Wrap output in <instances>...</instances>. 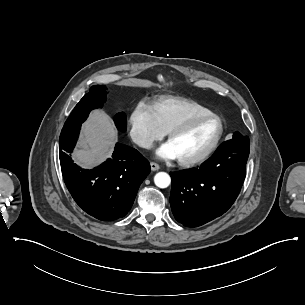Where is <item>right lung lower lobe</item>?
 <instances>
[{
    "label": "right lung lower lobe",
    "instance_id": "obj_1",
    "mask_svg": "<svg viewBox=\"0 0 305 305\" xmlns=\"http://www.w3.org/2000/svg\"><path fill=\"white\" fill-rule=\"evenodd\" d=\"M81 124L63 127L59 157L64 182L75 202L89 215L103 221L124 217L138 188L150 173V164L136 149L117 143L112 158L93 170L73 163L72 152Z\"/></svg>",
    "mask_w": 305,
    "mask_h": 305
}]
</instances>
